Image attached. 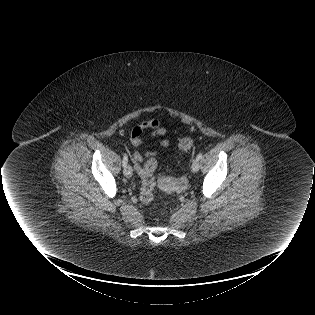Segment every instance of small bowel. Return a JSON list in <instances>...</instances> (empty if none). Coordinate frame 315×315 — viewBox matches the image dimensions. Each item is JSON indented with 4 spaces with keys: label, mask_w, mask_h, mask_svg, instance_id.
Here are the masks:
<instances>
[{
    "label": "small bowel",
    "mask_w": 315,
    "mask_h": 315,
    "mask_svg": "<svg viewBox=\"0 0 315 315\" xmlns=\"http://www.w3.org/2000/svg\"><path fill=\"white\" fill-rule=\"evenodd\" d=\"M150 129V133L147 136L143 135V132ZM167 133V129L163 126V123L158 118H152L144 120L138 125L134 126L130 133V140L134 147L141 146L147 138H154L158 136H163ZM159 146L162 148H168L170 142L167 139H162L159 141ZM157 154L156 151L145 150L143 155L146 157H153ZM132 161L134 163L135 169L140 172L142 169L143 156L140 152L134 151L131 155Z\"/></svg>",
    "instance_id": "obj_1"
}]
</instances>
